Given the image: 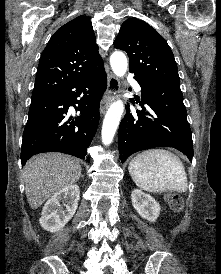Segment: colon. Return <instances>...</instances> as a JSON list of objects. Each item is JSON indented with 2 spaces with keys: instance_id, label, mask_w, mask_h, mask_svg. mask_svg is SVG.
I'll use <instances>...</instances> for the list:
<instances>
[{
  "instance_id": "colon-1",
  "label": "colon",
  "mask_w": 221,
  "mask_h": 274,
  "mask_svg": "<svg viewBox=\"0 0 221 274\" xmlns=\"http://www.w3.org/2000/svg\"><path fill=\"white\" fill-rule=\"evenodd\" d=\"M167 201L174 211H180L183 207L182 198L177 194L169 195Z\"/></svg>"
}]
</instances>
